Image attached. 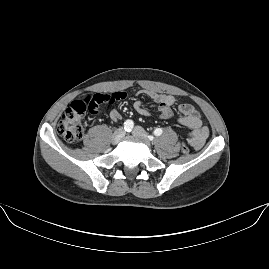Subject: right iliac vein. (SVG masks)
<instances>
[{
  "label": "right iliac vein",
  "instance_id": "1",
  "mask_svg": "<svg viewBox=\"0 0 269 269\" xmlns=\"http://www.w3.org/2000/svg\"><path fill=\"white\" fill-rule=\"evenodd\" d=\"M125 136V130L123 128H119L117 129L112 138H111V142L112 144L116 145L117 143L120 142V140Z\"/></svg>",
  "mask_w": 269,
  "mask_h": 269
}]
</instances>
